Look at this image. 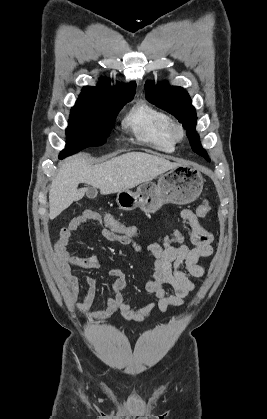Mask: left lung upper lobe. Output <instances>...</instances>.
I'll use <instances>...</instances> for the list:
<instances>
[{
	"mask_svg": "<svg viewBox=\"0 0 267 419\" xmlns=\"http://www.w3.org/2000/svg\"><path fill=\"white\" fill-rule=\"evenodd\" d=\"M145 91V96L150 103L168 111L182 123L192 150L210 161L200 144L199 135L195 131L197 116L187 91L179 86H170L167 82L155 85L150 81L146 82Z\"/></svg>",
	"mask_w": 267,
	"mask_h": 419,
	"instance_id": "5c2ea615",
	"label": "left lung upper lobe"
}]
</instances>
